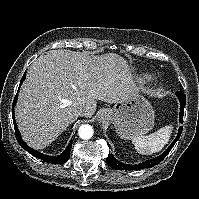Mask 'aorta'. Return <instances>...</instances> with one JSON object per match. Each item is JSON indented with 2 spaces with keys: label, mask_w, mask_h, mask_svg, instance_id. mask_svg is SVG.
Listing matches in <instances>:
<instances>
[{
  "label": "aorta",
  "mask_w": 199,
  "mask_h": 199,
  "mask_svg": "<svg viewBox=\"0 0 199 199\" xmlns=\"http://www.w3.org/2000/svg\"><path fill=\"white\" fill-rule=\"evenodd\" d=\"M78 134L82 139H90L93 135V128L88 124L81 125L79 127Z\"/></svg>",
  "instance_id": "762f6f07"
}]
</instances>
